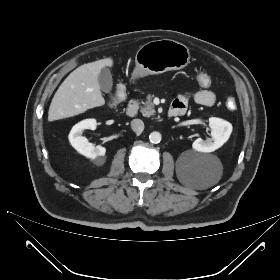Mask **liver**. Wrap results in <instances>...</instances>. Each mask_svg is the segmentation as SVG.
I'll return each instance as SVG.
<instances>
[{
    "mask_svg": "<svg viewBox=\"0 0 280 280\" xmlns=\"http://www.w3.org/2000/svg\"><path fill=\"white\" fill-rule=\"evenodd\" d=\"M107 66H113L112 58L83 64L71 72L51 101L48 121L73 117L88 109L103 106L105 99L101 93L98 75Z\"/></svg>",
    "mask_w": 280,
    "mask_h": 280,
    "instance_id": "1",
    "label": "liver"
}]
</instances>
